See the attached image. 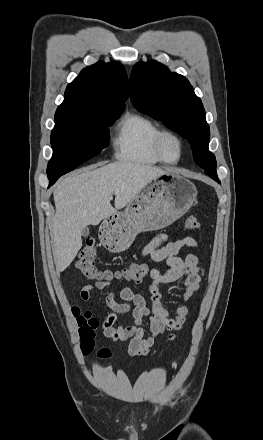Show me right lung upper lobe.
<instances>
[{
    "label": "right lung upper lobe",
    "instance_id": "obj_1",
    "mask_svg": "<svg viewBox=\"0 0 263 440\" xmlns=\"http://www.w3.org/2000/svg\"><path fill=\"white\" fill-rule=\"evenodd\" d=\"M129 96L128 78L119 62H98L82 70L67 86L55 120H74L97 113H119Z\"/></svg>",
    "mask_w": 263,
    "mask_h": 440
}]
</instances>
